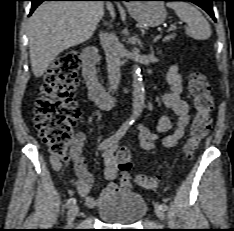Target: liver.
<instances>
[{
    "mask_svg": "<svg viewBox=\"0 0 234 231\" xmlns=\"http://www.w3.org/2000/svg\"><path fill=\"white\" fill-rule=\"evenodd\" d=\"M115 16L112 6L109 8ZM104 15L102 1H52L42 3L29 19L32 71L41 77L64 50L89 40Z\"/></svg>",
    "mask_w": 234,
    "mask_h": 231,
    "instance_id": "6515ba94",
    "label": "liver"
}]
</instances>
